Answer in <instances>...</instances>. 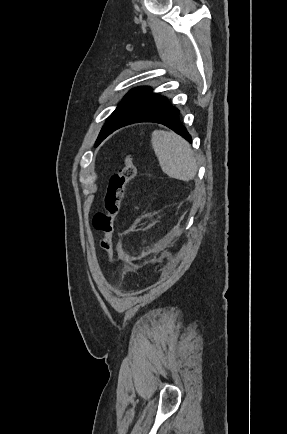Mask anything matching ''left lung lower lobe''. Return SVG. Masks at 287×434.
Returning <instances> with one entry per match:
<instances>
[{"label":"left lung lower lobe","mask_w":287,"mask_h":434,"mask_svg":"<svg viewBox=\"0 0 287 434\" xmlns=\"http://www.w3.org/2000/svg\"><path fill=\"white\" fill-rule=\"evenodd\" d=\"M138 122H154L163 124L187 141L192 142L191 135L179 120V110L169 104L167 98L153 103L128 118L119 128Z\"/></svg>","instance_id":"1"}]
</instances>
